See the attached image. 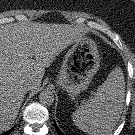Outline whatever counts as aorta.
Returning a JSON list of instances; mask_svg holds the SVG:
<instances>
[{"label":"aorta","mask_w":135,"mask_h":135,"mask_svg":"<svg viewBox=\"0 0 135 135\" xmlns=\"http://www.w3.org/2000/svg\"><path fill=\"white\" fill-rule=\"evenodd\" d=\"M39 101L43 105H51L54 102V94L51 91H42L39 95Z\"/></svg>","instance_id":"762f6f07"}]
</instances>
